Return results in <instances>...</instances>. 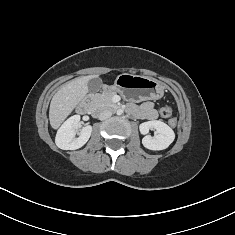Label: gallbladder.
Instances as JSON below:
<instances>
[{"mask_svg":"<svg viewBox=\"0 0 235 235\" xmlns=\"http://www.w3.org/2000/svg\"><path fill=\"white\" fill-rule=\"evenodd\" d=\"M102 85V80L99 77L92 78L88 82V91L96 93L101 89Z\"/></svg>","mask_w":235,"mask_h":235,"instance_id":"1","label":"gallbladder"}]
</instances>
